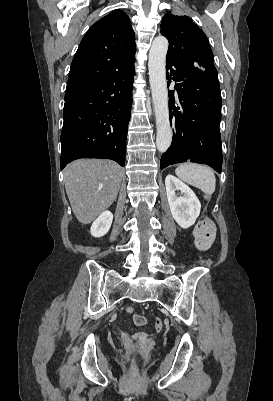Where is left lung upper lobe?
Segmentation results:
<instances>
[{
    "label": "left lung upper lobe",
    "instance_id": "left-lung-upper-lobe-1",
    "mask_svg": "<svg viewBox=\"0 0 273 401\" xmlns=\"http://www.w3.org/2000/svg\"><path fill=\"white\" fill-rule=\"evenodd\" d=\"M169 41L167 56L189 66H214V57L205 33L188 16L167 13L162 18L161 31Z\"/></svg>",
    "mask_w": 273,
    "mask_h": 401
}]
</instances>
